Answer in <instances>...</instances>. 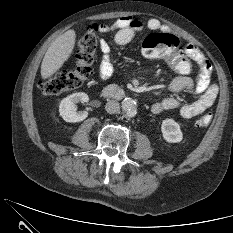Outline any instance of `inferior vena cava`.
Masks as SVG:
<instances>
[{"label": "inferior vena cava", "mask_w": 233, "mask_h": 233, "mask_svg": "<svg viewBox=\"0 0 233 233\" xmlns=\"http://www.w3.org/2000/svg\"><path fill=\"white\" fill-rule=\"evenodd\" d=\"M105 109H106L107 113L114 114V113H117L119 111L120 105L117 101L110 100L106 103Z\"/></svg>", "instance_id": "602c4592"}]
</instances>
